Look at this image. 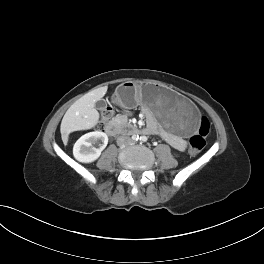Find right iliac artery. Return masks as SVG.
<instances>
[{"label": "right iliac artery", "mask_w": 264, "mask_h": 264, "mask_svg": "<svg viewBox=\"0 0 264 264\" xmlns=\"http://www.w3.org/2000/svg\"><path fill=\"white\" fill-rule=\"evenodd\" d=\"M132 139H133L134 141H138V140H139V135H138V134H134V135L132 136Z\"/></svg>", "instance_id": "obj_1"}]
</instances>
